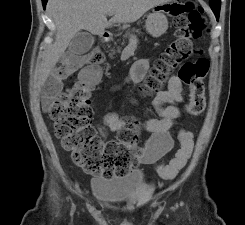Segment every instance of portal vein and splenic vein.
<instances>
[{"instance_id": "portal-vein-and-splenic-vein-1", "label": "portal vein and splenic vein", "mask_w": 245, "mask_h": 225, "mask_svg": "<svg viewBox=\"0 0 245 225\" xmlns=\"http://www.w3.org/2000/svg\"><path fill=\"white\" fill-rule=\"evenodd\" d=\"M108 15L109 16H113L114 12H109ZM129 42L130 43H137L138 39H137V37L135 35H130Z\"/></svg>"}]
</instances>
